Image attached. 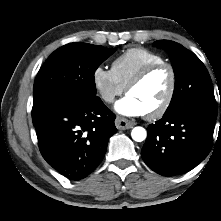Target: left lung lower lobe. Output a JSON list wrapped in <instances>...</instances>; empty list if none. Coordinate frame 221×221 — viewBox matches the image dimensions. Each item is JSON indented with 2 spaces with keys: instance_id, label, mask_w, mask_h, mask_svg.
I'll use <instances>...</instances> for the list:
<instances>
[{
  "instance_id": "1",
  "label": "left lung lower lobe",
  "mask_w": 221,
  "mask_h": 221,
  "mask_svg": "<svg viewBox=\"0 0 221 221\" xmlns=\"http://www.w3.org/2000/svg\"><path fill=\"white\" fill-rule=\"evenodd\" d=\"M216 116L197 106L164 114L148 126L141 151L146 165L168 177L195 168L211 150Z\"/></svg>"
}]
</instances>
